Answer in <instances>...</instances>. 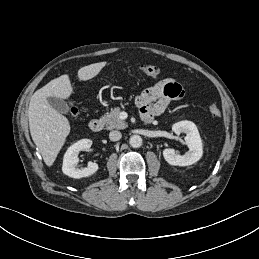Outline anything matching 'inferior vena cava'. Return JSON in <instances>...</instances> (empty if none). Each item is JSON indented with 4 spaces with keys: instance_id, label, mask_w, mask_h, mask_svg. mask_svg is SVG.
<instances>
[{
    "instance_id": "602c4592",
    "label": "inferior vena cava",
    "mask_w": 259,
    "mask_h": 259,
    "mask_svg": "<svg viewBox=\"0 0 259 259\" xmlns=\"http://www.w3.org/2000/svg\"><path fill=\"white\" fill-rule=\"evenodd\" d=\"M121 137H122V134H121L120 131L114 130V131H111V132L109 133V139H110L111 141H118V140L121 139Z\"/></svg>"
}]
</instances>
